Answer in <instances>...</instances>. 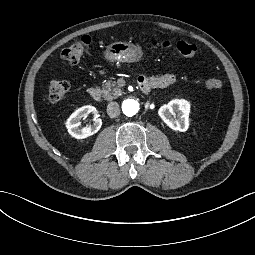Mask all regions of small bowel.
<instances>
[{
    "mask_svg": "<svg viewBox=\"0 0 255 255\" xmlns=\"http://www.w3.org/2000/svg\"><path fill=\"white\" fill-rule=\"evenodd\" d=\"M176 75L173 72L166 73L162 76L152 78L151 81L156 87H167L174 83Z\"/></svg>",
    "mask_w": 255,
    "mask_h": 255,
    "instance_id": "small-bowel-1",
    "label": "small bowel"
}]
</instances>
